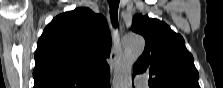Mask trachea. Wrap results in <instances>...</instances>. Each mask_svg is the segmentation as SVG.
Segmentation results:
<instances>
[{
	"instance_id": "1",
	"label": "trachea",
	"mask_w": 223,
	"mask_h": 88,
	"mask_svg": "<svg viewBox=\"0 0 223 88\" xmlns=\"http://www.w3.org/2000/svg\"><path fill=\"white\" fill-rule=\"evenodd\" d=\"M110 16H111V22L114 28L118 26V19H117V13H118V5L119 0H110Z\"/></svg>"
}]
</instances>
